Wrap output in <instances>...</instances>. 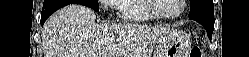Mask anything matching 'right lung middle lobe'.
I'll return each mask as SVG.
<instances>
[{"label": "right lung middle lobe", "instance_id": "obj_1", "mask_svg": "<svg viewBox=\"0 0 249 57\" xmlns=\"http://www.w3.org/2000/svg\"><path fill=\"white\" fill-rule=\"evenodd\" d=\"M82 5L88 6L95 11H99L98 0H82Z\"/></svg>", "mask_w": 249, "mask_h": 57}]
</instances>
